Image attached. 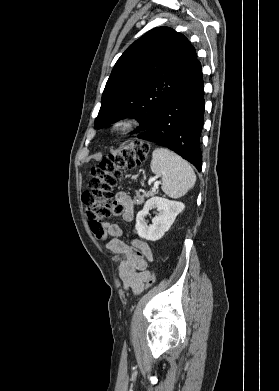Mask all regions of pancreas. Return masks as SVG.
Here are the masks:
<instances>
[{
	"mask_svg": "<svg viewBox=\"0 0 279 391\" xmlns=\"http://www.w3.org/2000/svg\"><path fill=\"white\" fill-rule=\"evenodd\" d=\"M154 194H155L154 192H148V193H144L142 195L137 193L136 196L134 197V204L140 205V204L144 203L145 197L149 198V197L154 196Z\"/></svg>",
	"mask_w": 279,
	"mask_h": 391,
	"instance_id": "cf45deb5",
	"label": "pancreas"
}]
</instances>
